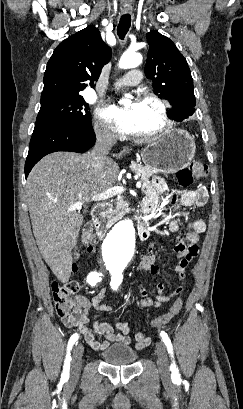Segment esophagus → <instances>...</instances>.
Instances as JSON below:
<instances>
[{"label": "esophagus", "instance_id": "obj_1", "mask_svg": "<svg viewBox=\"0 0 243 409\" xmlns=\"http://www.w3.org/2000/svg\"><path fill=\"white\" fill-rule=\"evenodd\" d=\"M122 13H123V14H129V13H131V11H130L129 9H123V10H122Z\"/></svg>", "mask_w": 243, "mask_h": 409}]
</instances>
